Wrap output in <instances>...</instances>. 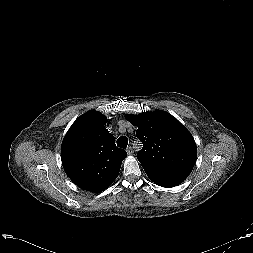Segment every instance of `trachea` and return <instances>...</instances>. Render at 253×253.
<instances>
[{
    "instance_id": "3493384b",
    "label": "trachea",
    "mask_w": 253,
    "mask_h": 253,
    "mask_svg": "<svg viewBox=\"0 0 253 253\" xmlns=\"http://www.w3.org/2000/svg\"><path fill=\"white\" fill-rule=\"evenodd\" d=\"M128 145V139L125 136H121L117 139V146L120 148H126Z\"/></svg>"
}]
</instances>
